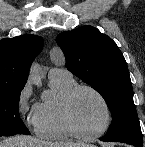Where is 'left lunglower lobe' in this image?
Listing matches in <instances>:
<instances>
[{
    "instance_id": "left-lung-lower-lobe-1",
    "label": "left lung lower lobe",
    "mask_w": 145,
    "mask_h": 147,
    "mask_svg": "<svg viewBox=\"0 0 145 147\" xmlns=\"http://www.w3.org/2000/svg\"><path fill=\"white\" fill-rule=\"evenodd\" d=\"M100 140L101 141H105V142H109V141H107L105 138H100ZM125 143V142H124ZM128 144H130V145H134L135 147H142V145H143V143H141V144H137V143H128Z\"/></svg>"
}]
</instances>
